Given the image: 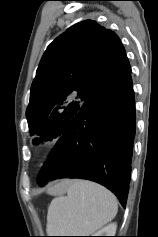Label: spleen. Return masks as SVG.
Here are the masks:
<instances>
[{
	"label": "spleen",
	"mask_w": 158,
	"mask_h": 237,
	"mask_svg": "<svg viewBox=\"0 0 158 237\" xmlns=\"http://www.w3.org/2000/svg\"><path fill=\"white\" fill-rule=\"evenodd\" d=\"M66 196L54 198L48 208V236H89L117 214V199L103 186L88 180H73Z\"/></svg>",
	"instance_id": "spleen-1"
}]
</instances>
